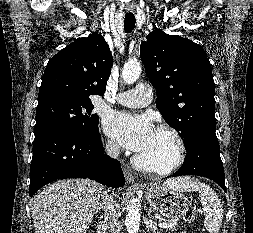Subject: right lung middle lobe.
<instances>
[{
  "instance_id": "dd1d6c3e",
  "label": "right lung middle lobe",
  "mask_w": 253,
  "mask_h": 233,
  "mask_svg": "<svg viewBox=\"0 0 253 233\" xmlns=\"http://www.w3.org/2000/svg\"><path fill=\"white\" fill-rule=\"evenodd\" d=\"M94 106L90 99L53 97L36 108L34 132L42 129H64L81 136H92L99 131V117L92 114Z\"/></svg>"
}]
</instances>
